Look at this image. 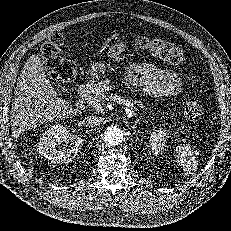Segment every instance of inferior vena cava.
Returning <instances> with one entry per match:
<instances>
[{"label":"inferior vena cava","instance_id":"1","mask_svg":"<svg viewBox=\"0 0 231 231\" xmlns=\"http://www.w3.org/2000/svg\"><path fill=\"white\" fill-rule=\"evenodd\" d=\"M101 122H102V118L101 117L87 116L82 121V124L85 125L86 127H94V126L100 125Z\"/></svg>","mask_w":231,"mask_h":231}]
</instances>
